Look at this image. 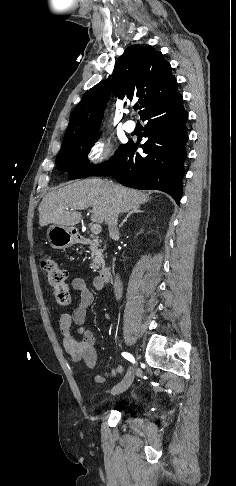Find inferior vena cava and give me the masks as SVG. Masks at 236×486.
<instances>
[{"mask_svg": "<svg viewBox=\"0 0 236 486\" xmlns=\"http://www.w3.org/2000/svg\"><path fill=\"white\" fill-rule=\"evenodd\" d=\"M119 213H120L119 209L115 208L112 212L111 219L108 223L109 234L111 237H114L119 233L117 228ZM114 293L117 300L121 299L123 294V287H122V282L118 275H116L115 277Z\"/></svg>", "mask_w": 236, "mask_h": 486, "instance_id": "602c4592", "label": "inferior vena cava"}]
</instances>
